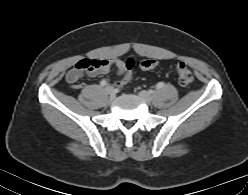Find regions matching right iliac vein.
<instances>
[{"mask_svg":"<svg viewBox=\"0 0 248 195\" xmlns=\"http://www.w3.org/2000/svg\"><path fill=\"white\" fill-rule=\"evenodd\" d=\"M105 91L110 96L111 99H114L115 98V92H114L113 87L106 86Z\"/></svg>","mask_w":248,"mask_h":195,"instance_id":"63e3f726","label":"right iliac vein"}]
</instances>
